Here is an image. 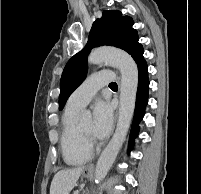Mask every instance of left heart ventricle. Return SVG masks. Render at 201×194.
<instances>
[{
  "label": "left heart ventricle",
  "mask_w": 201,
  "mask_h": 194,
  "mask_svg": "<svg viewBox=\"0 0 201 194\" xmlns=\"http://www.w3.org/2000/svg\"><path fill=\"white\" fill-rule=\"evenodd\" d=\"M80 128L85 131L86 133L90 134L91 133V129H92V121L88 120L85 123H83Z\"/></svg>",
  "instance_id": "obj_1"
}]
</instances>
